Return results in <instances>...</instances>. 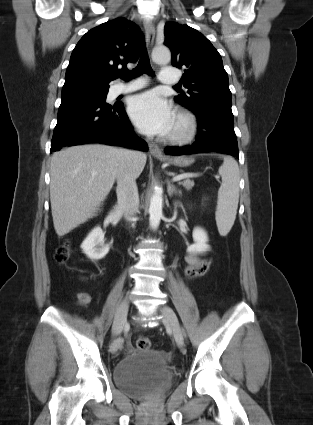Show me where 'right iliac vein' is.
Segmentation results:
<instances>
[{
	"label": "right iliac vein",
	"instance_id": "obj_1",
	"mask_svg": "<svg viewBox=\"0 0 313 425\" xmlns=\"http://www.w3.org/2000/svg\"><path fill=\"white\" fill-rule=\"evenodd\" d=\"M128 308H129L128 298L125 297L120 302L115 318H114V322L112 326V333L114 336H117L118 334H120L124 325L126 324Z\"/></svg>",
	"mask_w": 313,
	"mask_h": 425
}]
</instances>
